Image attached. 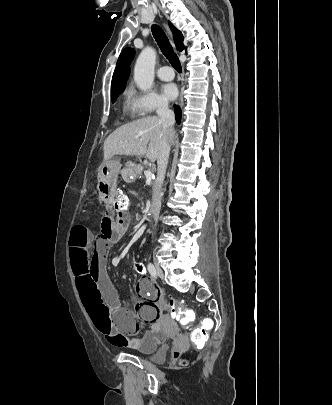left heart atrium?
I'll list each match as a JSON object with an SVG mask.
<instances>
[{
    "instance_id": "left-heart-atrium-1",
    "label": "left heart atrium",
    "mask_w": 332,
    "mask_h": 405,
    "mask_svg": "<svg viewBox=\"0 0 332 405\" xmlns=\"http://www.w3.org/2000/svg\"><path fill=\"white\" fill-rule=\"evenodd\" d=\"M162 93L167 99L173 100L178 94V89L175 84L168 83L162 86Z\"/></svg>"
}]
</instances>
